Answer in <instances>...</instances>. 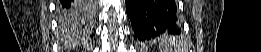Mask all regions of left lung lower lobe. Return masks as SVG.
Listing matches in <instances>:
<instances>
[{
  "label": "left lung lower lobe",
  "mask_w": 261,
  "mask_h": 52,
  "mask_svg": "<svg viewBox=\"0 0 261 52\" xmlns=\"http://www.w3.org/2000/svg\"><path fill=\"white\" fill-rule=\"evenodd\" d=\"M126 12L141 41L180 33L174 0H126Z\"/></svg>",
  "instance_id": "obj_1"
}]
</instances>
